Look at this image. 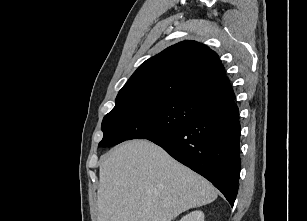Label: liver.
<instances>
[{
  "label": "liver",
  "instance_id": "6515ba94",
  "mask_svg": "<svg viewBox=\"0 0 307 221\" xmlns=\"http://www.w3.org/2000/svg\"><path fill=\"white\" fill-rule=\"evenodd\" d=\"M99 178L98 221H171L217 198L210 182L147 140L101 156Z\"/></svg>",
  "mask_w": 307,
  "mask_h": 221
}]
</instances>
